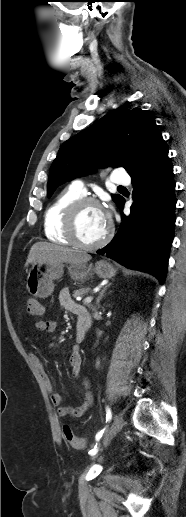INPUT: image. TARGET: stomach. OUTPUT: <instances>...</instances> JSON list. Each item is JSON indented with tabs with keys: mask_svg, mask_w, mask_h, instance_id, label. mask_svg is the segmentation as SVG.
<instances>
[{
	"mask_svg": "<svg viewBox=\"0 0 186 517\" xmlns=\"http://www.w3.org/2000/svg\"><path fill=\"white\" fill-rule=\"evenodd\" d=\"M70 276L74 280H84L88 276L96 274L100 278H112L116 274V269L107 261L101 260L94 266L86 263H69L67 266ZM64 264H38L34 263L28 272L26 288L31 295L46 298L54 290V280L62 277Z\"/></svg>",
	"mask_w": 186,
	"mask_h": 517,
	"instance_id": "obj_1",
	"label": "stomach"
}]
</instances>
